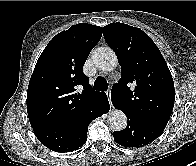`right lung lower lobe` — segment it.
<instances>
[{
    "instance_id": "right-lung-lower-lobe-1",
    "label": "right lung lower lobe",
    "mask_w": 196,
    "mask_h": 166,
    "mask_svg": "<svg viewBox=\"0 0 196 166\" xmlns=\"http://www.w3.org/2000/svg\"><path fill=\"white\" fill-rule=\"evenodd\" d=\"M109 109L108 99L101 96L86 107L75 124L36 131L34 134L43 145L55 152L74 151L86 143L90 122L107 113Z\"/></svg>"
}]
</instances>
